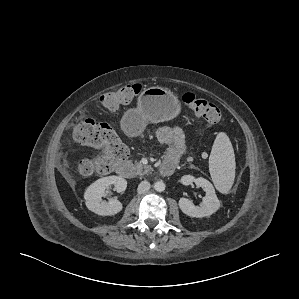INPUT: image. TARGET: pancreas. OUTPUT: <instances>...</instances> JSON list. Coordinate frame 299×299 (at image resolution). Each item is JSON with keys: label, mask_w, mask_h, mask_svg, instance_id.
I'll return each instance as SVG.
<instances>
[{"label": "pancreas", "mask_w": 299, "mask_h": 299, "mask_svg": "<svg viewBox=\"0 0 299 299\" xmlns=\"http://www.w3.org/2000/svg\"><path fill=\"white\" fill-rule=\"evenodd\" d=\"M187 161L188 162L193 161V158L192 157H188ZM135 165H136V174L137 175L146 174V173H148V172L151 171V167L150 166H143L139 162H135Z\"/></svg>", "instance_id": "pancreas-1"}]
</instances>
